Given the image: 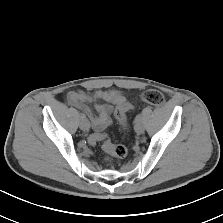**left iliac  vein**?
Instances as JSON below:
<instances>
[{"label":"left iliac vein","instance_id":"left-iliac-vein-1","mask_svg":"<svg viewBox=\"0 0 223 223\" xmlns=\"http://www.w3.org/2000/svg\"><path fill=\"white\" fill-rule=\"evenodd\" d=\"M134 129L137 134H142L144 132L143 123L141 121L135 122Z\"/></svg>","mask_w":223,"mask_h":223}]
</instances>
